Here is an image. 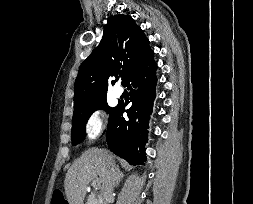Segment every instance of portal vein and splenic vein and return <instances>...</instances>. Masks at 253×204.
<instances>
[{
  "instance_id": "18ae733b",
  "label": "portal vein and splenic vein",
  "mask_w": 253,
  "mask_h": 204,
  "mask_svg": "<svg viewBox=\"0 0 253 204\" xmlns=\"http://www.w3.org/2000/svg\"><path fill=\"white\" fill-rule=\"evenodd\" d=\"M95 184L97 185V186H100L101 185V182L100 181H95Z\"/></svg>"
}]
</instances>
